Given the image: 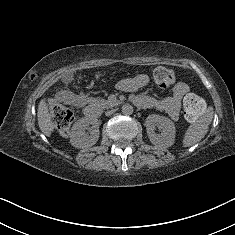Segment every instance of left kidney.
<instances>
[{
	"mask_svg": "<svg viewBox=\"0 0 235 235\" xmlns=\"http://www.w3.org/2000/svg\"><path fill=\"white\" fill-rule=\"evenodd\" d=\"M150 142L160 148H168L174 144L176 136L175 124L168 117L158 114L149 115L145 124ZM156 127H160L161 133L155 132Z\"/></svg>",
	"mask_w": 235,
	"mask_h": 235,
	"instance_id": "obj_1",
	"label": "left kidney"
}]
</instances>
